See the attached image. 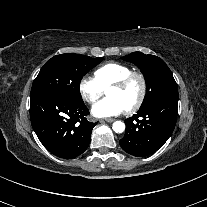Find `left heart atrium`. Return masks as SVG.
Here are the masks:
<instances>
[{
    "instance_id": "obj_1",
    "label": "left heart atrium",
    "mask_w": 207,
    "mask_h": 207,
    "mask_svg": "<svg viewBox=\"0 0 207 207\" xmlns=\"http://www.w3.org/2000/svg\"><path fill=\"white\" fill-rule=\"evenodd\" d=\"M125 106L116 98L107 97L96 102L91 111L95 117L110 118L125 112Z\"/></svg>"
}]
</instances>
